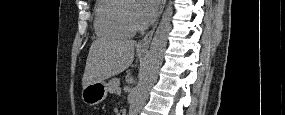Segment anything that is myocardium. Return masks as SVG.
<instances>
[{
  "instance_id": "1",
  "label": "myocardium",
  "mask_w": 285,
  "mask_h": 115,
  "mask_svg": "<svg viewBox=\"0 0 285 115\" xmlns=\"http://www.w3.org/2000/svg\"><path fill=\"white\" fill-rule=\"evenodd\" d=\"M129 4H124L122 9V18L127 27L133 32L143 29L141 24L137 23L132 16L128 13Z\"/></svg>"
}]
</instances>
